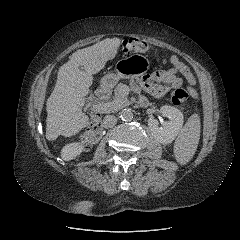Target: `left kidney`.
<instances>
[{"mask_svg": "<svg viewBox=\"0 0 240 240\" xmlns=\"http://www.w3.org/2000/svg\"><path fill=\"white\" fill-rule=\"evenodd\" d=\"M160 112L169 119L163 128L158 126V121L154 118L148 119V127L151 135L157 141L162 144H168L171 143L181 131L184 117L180 110L169 105L162 106Z\"/></svg>", "mask_w": 240, "mask_h": 240, "instance_id": "1", "label": "left kidney"}]
</instances>
